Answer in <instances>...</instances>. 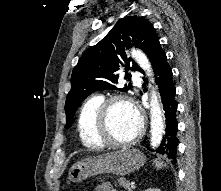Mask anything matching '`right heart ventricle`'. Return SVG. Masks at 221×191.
Wrapping results in <instances>:
<instances>
[{"mask_svg": "<svg viewBox=\"0 0 221 191\" xmlns=\"http://www.w3.org/2000/svg\"><path fill=\"white\" fill-rule=\"evenodd\" d=\"M104 99L100 95L88 98L81 106L77 118V131L82 144L90 149L102 148L97 136V113Z\"/></svg>", "mask_w": 221, "mask_h": 191, "instance_id": "e07e8e85", "label": "right heart ventricle"}]
</instances>
